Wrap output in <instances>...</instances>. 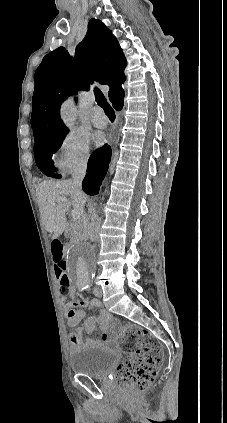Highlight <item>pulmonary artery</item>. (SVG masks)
<instances>
[{"label":"pulmonary artery","mask_w":227,"mask_h":423,"mask_svg":"<svg viewBox=\"0 0 227 423\" xmlns=\"http://www.w3.org/2000/svg\"><path fill=\"white\" fill-rule=\"evenodd\" d=\"M89 120L96 128L99 129H103L108 125L107 117L105 116L103 110L99 107H93L89 111Z\"/></svg>","instance_id":"pulmonary-artery-1"}]
</instances>
